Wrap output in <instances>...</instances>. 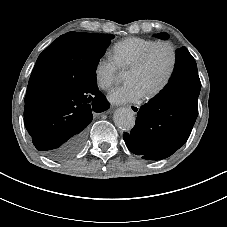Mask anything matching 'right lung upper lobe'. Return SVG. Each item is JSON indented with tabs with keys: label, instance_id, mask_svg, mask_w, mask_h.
<instances>
[{
	"label": "right lung upper lobe",
	"instance_id": "cb5924a9",
	"mask_svg": "<svg viewBox=\"0 0 227 227\" xmlns=\"http://www.w3.org/2000/svg\"><path fill=\"white\" fill-rule=\"evenodd\" d=\"M47 85V82L42 77L34 73L31 74L28 88L26 91L25 102L29 101L30 99L41 93Z\"/></svg>",
	"mask_w": 227,
	"mask_h": 227
}]
</instances>
